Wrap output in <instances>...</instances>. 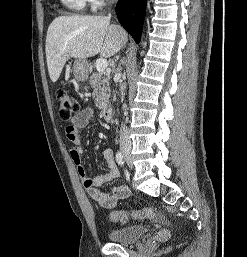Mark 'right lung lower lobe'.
<instances>
[{"label": "right lung lower lobe", "mask_w": 247, "mask_h": 257, "mask_svg": "<svg viewBox=\"0 0 247 257\" xmlns=\"http://www.w3.org/2000/svg\"><path fill=\"white\" fill-rule=\"evenodd\" d=\"M147 0H119L116 14L121 25L139 43Z\"/></svg>", "instance_id": "1"}]
</instances>
